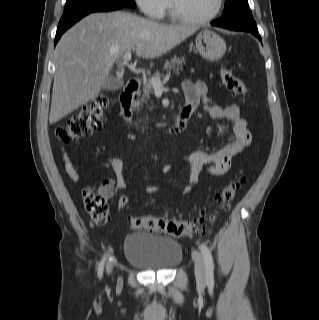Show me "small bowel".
<instances>
[{"label": "small bowel", "mask_w": 319, "mask_h": 320, "mask_svg": "<svg viewBox=\"0 0 319 320\" xmlns=\"http://www.w3.org/2000/svg\"><path fill=\"white\" fill-rule=\"evenodd\" d=\"M182 89L186 103L183 110L195 111L198 107L213 119H227L233 124V138L214 152L194 151L183 153L182 162L190 170V184L182 191V196L188 195L198 183L201 174L206 173L210 176H220L226 173L230 167L233 156L243 151L252 142V134L248 129L247 120L242 117L240 107L236 104L220 106L213 104L208 97V87L204 82L184 81ZM62 161L68 176L75 182H80L81 178L76 171L69 155L61 149ZM104 161L112 167L116 174V185L121 190H126L128 184L125 180L122 162L113 156H104ZM169 167L163 165L161 172L166 173ZM160 190V184L156 183L148 186L145 193L148 195L156 194ZM121 197L118 207L124 209L127 205L122 204Z\"/></svg>", "instance_id": "1"}]
</instances>
